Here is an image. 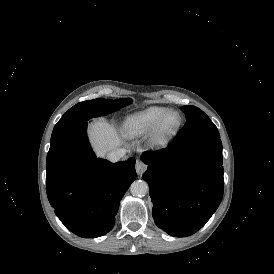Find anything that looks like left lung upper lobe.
<instances>
[{
	"label": "left lung upper lobe",
	"mask_w": 274,
	"mask_h": 274,
	"mask_svg": "<svg viewBox=\"0 0 274 274\" xmlns=\"http://www.w3.org/2000/svg\"><path fill=\"white\" fill-rule=\"evenodd\" d=\"M181 110L186 113L187 122L179 131L178 137L220 136L215 124L202 110L191 105L182 106Z\"/></svg>",
	"instance_id": "5c2ea615"
}]
</instances>
